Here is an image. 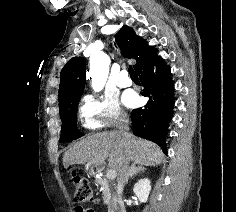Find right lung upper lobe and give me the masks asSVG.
Returning a JSON list of instances; mask_svg holds the SVG:
<instances>
[{
	"mask_svg": "<svg viewBox=\"0 0 236 212\" xmlns=\"http://www.w3.org/2000/svg\"><path fill=\"white\" fill-rule=\"evenodd\" d=\"M115 40L121 50L123 57L133 58L136 64L133 66L135 71L146 61L153 47L135 31L124 25L115 35ZM86 79V62L83 57L70 59L63 67L60 74L59 85V108L62 110L70 101L81 96Z\"/></svg>",
	"mask_w": 236,
	"mask_h": 212,
	"instance_id": "cb5924a9",
	"label": "right lung upper lobe"
}]
</instances>
